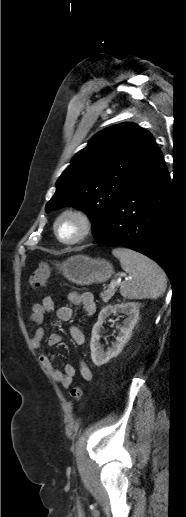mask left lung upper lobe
Returning a JSON list of instances; mask_svg holds the SVG:
<instances>
[{
    "instance_id": "left-lung-upper-lobe-1",
    "label": "left lung upper lobe",
    "mask_w": 186,
    "mask_h": 517,
    "mask_svg": "<svg viewBox=\"0 0 186 517\" xmlns=\"http://www.w3.org/2000/svg\"><path fill=\"white\" fill-rule=\"evenodd\" d=\"M159 152L153 136L135 124L100 131L72 158L46 211L66 205L84 210L92 220L95 237Z\"/></svg>"
}]
</instances>
